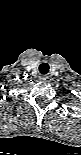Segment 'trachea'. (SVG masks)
<instances>
[{
    "label": "trachea",
    "mask_w": 81,
    "mask_h": 155,
    "mask_svg": "<svg viewBox=\"0 0 81 155\" xmlns=\"http://www.w3.org/2000/svg\"><path fill=\"white\" fill-rule=\"evenodd\" d=\"M39 71L41 74H47L49 72V65L47 63L40 64Z\"/></svg>",
    "instance_id": "1"
}]
</instances>
